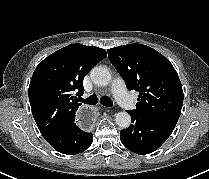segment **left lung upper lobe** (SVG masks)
Returning <instances> with one entry per match:
<instances>
[{
	"label": "left lung upper lobe",
	"mask_w": 209,
	"mask_h": 179,
	"mask_svg": "<svg viewBox=\"0 0 209 179\" xmlns=\"http://www.w3.org/2000/svg\"><path fill=\"white\" fill-rule=\"evenodd\" d=\"M107 52L127 88L139 92L134 110L177 123L183 105V90L170 61L143 44H128Z\"/></svg>",
	"instance_id": "1"
}]
</instances>
